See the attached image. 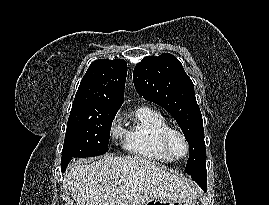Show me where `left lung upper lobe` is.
<instances>
[{
  "label": "left lung upper lobe",
  "mask_w": 269,
  "mask_h": 205,
  "mask_svg": "<svg viewBox=\"0 0 269 205\" xmlns=\"http://www.w3.org/2000/svg\"><path fill=\"white\" fill-rule=\"evenodd\" d=\"M137 92L146 100L166 109L177 121L190 147L186 172L191 175L206 167V148L202 115L196 102L194 85L181 62L172 54L147 56L133 72Z\"/></svg>",
  "instance_id": "5c2ea615"
}]
</instances>
